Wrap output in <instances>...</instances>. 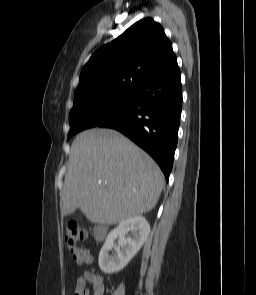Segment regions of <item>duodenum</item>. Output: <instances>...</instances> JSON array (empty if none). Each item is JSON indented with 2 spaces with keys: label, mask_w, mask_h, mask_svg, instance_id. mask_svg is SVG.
I'll return each instance as SVG.
<instances>
[{
  "label": "duodenum",
  "mask_w": 256,
  "mask_h": 295,
  "mask_svg": "<svg viewBox=\"0 0 256 295\" xmlns=\"http://www.w3.org/2000/svg\"><path fill=\"white\" fill-rule=\"evenodd\" d=\"M93 232H94V236L97 240H103L108 233V229L104 225H96L94 227Z\"/></svg>",
  "instance_id": "410a0bca"
}]
</instances>
